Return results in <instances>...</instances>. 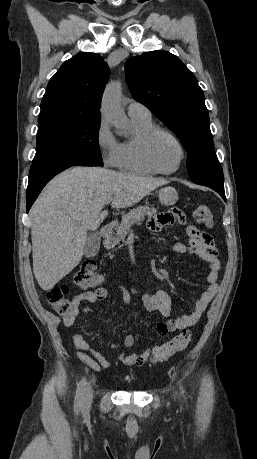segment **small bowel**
Instances as JSON below:
<instances>
[{"instance_id": "c3829d8e", "label": "small bowel", "mask_w": 257, "mask_h": 459, "mask_svg": "<svg viewBox=\"0 0 257 459\" xmlns=\"http://www.w3.org/2000/svg\"><path fill=\"white\" fill-rule=\"evenodd\" d=\"M184 224L182 229L183 236H189L186 243L175 242L172 246L174 253L177 256L192 254L201 259L207 266L205 274L206 287L197 298L194 307L190 314L177 319H168L164 323L157 324V332L161 336H165L169 332L186 329L196 324L212 298L218 291V272L220 263L218 260V250L209 236L201 233L195 227L191 220L185 219V209L175 208L174 205H163L157 213V217H149V229L152 231L159 229H173L174 226ZM122 300L124 304H129L131 293L124 287H121ZM145 308L149 312H158L163 317L167 318L171 314L172 298L166 290H158L154 294H148L138 291ZM108 292L103 287H98L95 290H85L73 297V302L76 304V309L62 319L65 327H71L76 318L87 312L88 308L83 306L84 302L91 304L105 300ZM73 343L76 348L77 358L86 366L94 371L101 372L112 366V363L106 359L100 352L93 349L84 339L82 333L77 331L73 334ZM134 344V337L127 335L122 341L113 342V349L130 348ZM152 353L151 349L143 352H135L128 355L121 353L117 361L126 366H142L147 362Z\"/></svg>"}]
</instances>
